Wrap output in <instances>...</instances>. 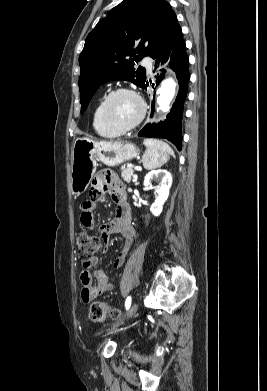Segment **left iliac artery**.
<instances>
[{
  "label": "left iliac artery",
  "instance_id": "left-iliac-artery-1",
  "mask_svg": "<svg viewBox=\"0 0 267 391\" xmlns=\"http://www.w3.org/2000/svg\"><path fill=\"white\" fill-rule=\"evenodd\" d=\"M131 306V297L129 296L127 299H126V302H125V307H126V310H128Z\"/></svg>",
  "mask_w": 267,
  "mask_h": 391
}]
</instances>
